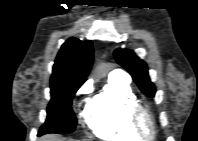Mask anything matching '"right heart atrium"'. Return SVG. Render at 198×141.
<instances>
[{"mask_svg": "<svg viewBox=\"0 0 198 141\" xmlns=\"http://www.w3.org/2000/svg\"><path fill=\"white\" fill-rule=\"evenodd\" d=\"M88 90H89V84H85L79 89L78 94H86Z\"/></svg>", "mask_w": 198, "mask_h": 141, "instance_id": "right-heart-atrium-1", "label": "right heart atrium"}]
</instances>
